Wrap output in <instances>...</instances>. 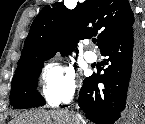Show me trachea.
<instances>
[{"instance_id": "trachea-1", "label": "trachea", "mask_w": 145, "mask_h": 124, "mask_svg": "<svg viewBox=\"0 0 145 124\" xmlns=\"http://www.w3.org/2000/svg\"><path fill=\"white\" fill-rule=\"evenodd\" d=\"M92 41H93V43H96V42H97V40H96V39H93Z\"/></svg>"}]
</instances>
